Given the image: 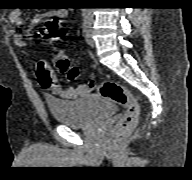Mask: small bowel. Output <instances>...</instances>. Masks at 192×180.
Here are the masks:
<instances>
[{"mask_svg": "<svg viewBox=\"0 0 192 180\" xmlns=\"http://www.w3.org/2000/svg\"><path fill=\"white\" fill-rule=\"evenodd\" d=\"M66 14L67 12L64 9L50 11L45 14L39 15L37 17V20L39 21L41 19L48 18L57 21L58 19L65 17ZM9 19L10 22L14 25L22 24V16L19 10L12 11ZM14 39L20 45L25 44L20 34H15ZM37 75L41 86L44 87L45 89L51 90L56 96L60 98L75 99L88 93L87 87L82 84L68 88H64L61 85H59L56 81L52 69L45 62H40L38 64Z\"/></svg>", "mask_w": 192, "mask_h": 180, "instance_id": "obj_1", "label": "small bowel"}]
</instances>
